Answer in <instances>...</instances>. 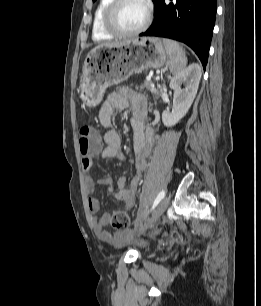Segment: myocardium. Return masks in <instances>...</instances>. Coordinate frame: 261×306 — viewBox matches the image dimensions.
Listing matches in <instances>:
<instances>
[{
  "label": "myocardium",
  "mask_w": 261,
  "mask_h": 306,
  "mask_svg": "<svg viewBox=\"0 0 261 306\" xmlns=\"http://www.w3.org/2000/svg\"><path fill=\"white\" fill-rule=\"evenodd\" d=\"M124 1L125 0H111L110 1V3L107 5L103 13V17H102L103 26L109 33H111L114 36L131 37V36L138 35L141 32H143L145 29H147L151 23L152 15H153L152 3L150 0H141L146 7V17L143 23L139 27H137L134 30L127 31V30L121 29L115 22V13L118 7Z\"/></svg>",
  "instance_id": "obj_1"
}]
</instances>
